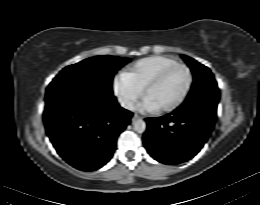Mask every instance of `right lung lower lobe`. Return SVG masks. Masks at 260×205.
I'll return each mask as SVG.
<instances>
[{"label": "right lung lower lobe", "mask_w": 260, "mask_h": 205, "mask_svg": "<svg viewBox=\"0 0 260 205\" xmlns=\"http://www.w3.org/2000/svg\"><path fill=\"white\" fill-rule=\"evenodd\" d=\"M45 101V127L53 146L82 171L97 170L110 160L132 116L113 95L82 84H50Z\"/></svg>", "instance_id": "obj_1"}]
</instances>
